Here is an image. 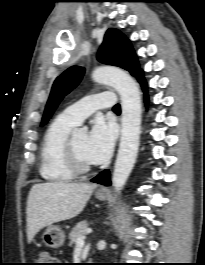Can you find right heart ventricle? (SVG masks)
Returning <instances> with one entry per match:
<instances>
[{
    "label": "right heart ventricle",
    "mask_w": 205,
    "mask_h": 265,
    "mask_svg": "<svg viewBox=\"0 0 205 265\" xmlns=\"http://www.w3.org/2000/svg\"><path fill=\"white\" fill-rule=\"evenodd\" d=\"M63 114L56 117L47 128L41 145V176L54 183L71 181L75 173L67 162L66 149L70 133L76 126Z\"/></svg>",
    "instance_id": "1"
}]
</instances>
